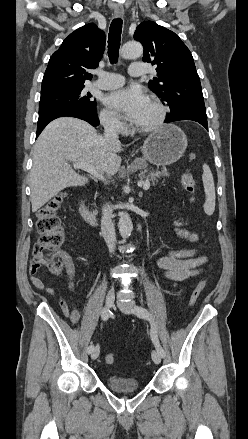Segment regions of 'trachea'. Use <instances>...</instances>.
Masks as SVG:
<instances>
[{
  "label": "trachea",
  "mask_w": 248,
  "mask_h": 439,
  "mask_svg": "<svg viewBox=\"0 0 248 439\" xmlns=\"http://www.w3.org/2000/svg\"><path fill=\"white\" fill-rule=\"evenodd\" d=\"M123 21L116 18L112 21L108 36V56L111 63H117L120 48Z\"/></svg>",
  "instance_id": "1"
}]
</instances>
